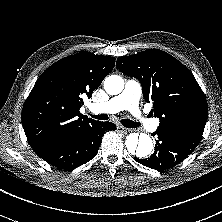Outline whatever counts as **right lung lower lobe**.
I'll use <instances>...</instances> for the list:
<instances>
[{
  "mask_svg": "<svg viewBox=\"0 0 222 222\" xmlns=\"http://www.w3.org/2000/svg\"><path fill=\"white\" fill-rule=\"evenodd\" d=\"M109 130H116L114 123L93 121L70 135L46 139L30 146L51 165L72 170L97 155L101 139Z\"/></svg>",
  "mask_w": 222,
  "mask_h": 222,
  "instance_id": "1",
  "label": "right lung lower lobe"
}]
</instances>
